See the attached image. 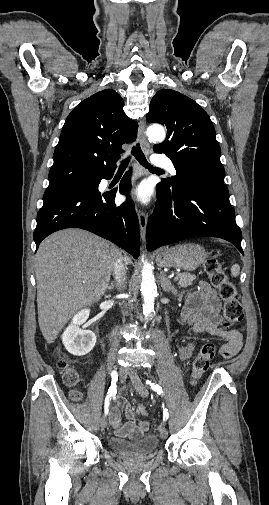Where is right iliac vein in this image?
I'll list each match as a JSON object with an SVG mask.
<instances>
[{"instance_id":"63e3f726","label":"right iliac vein","mask_w":269,"mask_h":505,"mask_svg":"<svg viewBox=\"0 0 269 505\" xmlns=\"http://www.w3.org/2000/svg\"><path fill=\"white\" fill-rule=\"evenodd\" d=\"M126 372L127 370L125 368H120L119 369V376L121 377V382H124V380L126 379ZM107 424H108V420H107V417L106 415H103L101 420H100V426L101 428L104 430L106 427H107Z\"/></svg>"}]
</instances>
